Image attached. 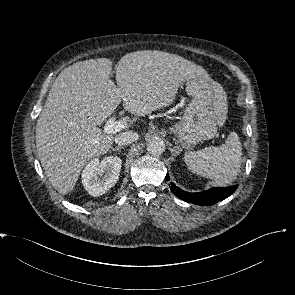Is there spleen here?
<instances>
[{
    "mask_svg": "<svg viewBox=\"0 0 295 295\" xmlns=\"http://www.w3.org/2000/svg\"><path fill=\"white\" fill-rule=\"evenodd\" d=\"M242 148L237 133L231 132L219 147H206L184 154L185 162L193 173L210 178L219 186L231 183L241 167Z\"/></svg>",
    "mask_w": 295,
    "mask_h": 295,
    "instance_id": "spleen-1",
    "label": "spleen"
}]
</instances>
